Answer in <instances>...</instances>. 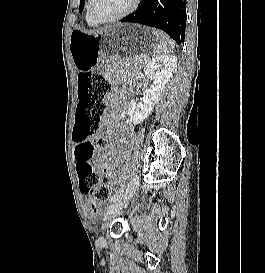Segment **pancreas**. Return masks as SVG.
Wrapping results in <instances>:
<instances>
[{
    "mask_svg": "<svg viewBox=\"0 0 265 273\" xmlns=\"http://www.w3.org/2000/svg\"><path fill=\"white\" fill-rule=\"evenodd\" d=\"M132 65H143L144 64V60L142 57H135L131 59L130 62Z\"/></svg>",
    "mask_w": 265,
    "mask_h": 273,
    "instance_id": "obj_1",
    "label": "pancreas"
}]
</instances>
